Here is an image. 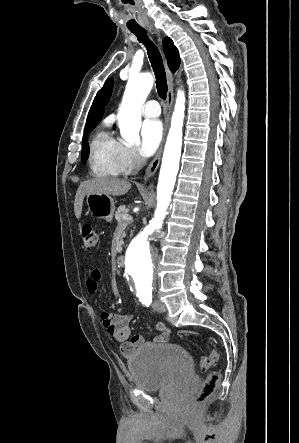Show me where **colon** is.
<instances>
[{
	"label": "colon",
	"instance_id": "1",
	"mask_svg": "<svg viewBox=\"0 0 299 443\" xmlns=\"http://www.w3.org/2000/svg\"><path fill=\"white\" fill-rule=\"evenodd\" d=\"M81 239L83 245L87 249H93L97 246L98 236L90 224H84L81 228ZM219 359V353L216 349H212L209 355H204L199 358L198 365L203 371L208 370ZM221 381V374L217 371L211 372L203 381L200 391L195 397L197 405H203L209 401L216 393Z\"/></svg>",
	"mask_w": 299,
	"mask_h": 443
}]
</instances>
